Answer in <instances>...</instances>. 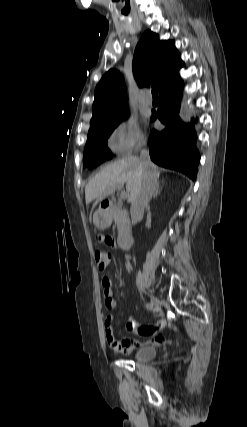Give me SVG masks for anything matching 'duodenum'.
I'll use <instances>...</instances> for the list:
<instances>
[{"label":"duodenum","instance_id":"obj_1","mask_svg":"<svg viewBox=\"0 0 247 427\" xmlns=\"http://www.w3.org/2000/svg\"><path fill=\"white\" fill-rule=\"evenodd\" d=\"M113 207L112 203L109 202H105L102 205V209L105 212H109ZM118 245L122 250H128L130 249V247L132 246V238L130 235L128 234H123L122 236H120L119 240H118Z\"/></svg>","mask_w":247,"mask_h":427}]
</instances>
